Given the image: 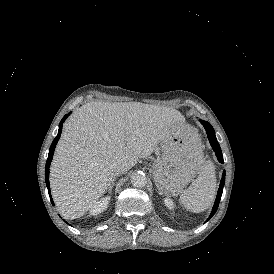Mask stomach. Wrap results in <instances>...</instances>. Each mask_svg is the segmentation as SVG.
Here are the masks:
<instances>
[{
  "mask_svg": "<svg viewBox=\"0 0 274 274\" xmlns=\"http://www.w3.org/2000/svg\"><path fill=\"white\" fill-rule=\"evenodd\" d=\"M184 130L186 132L183 133ZM195 134L196 129L185 124L159 141L161 156L155 160L152 172L156 185L163 193L180 192L199 172L197 156L191 148Z\"/></svg>",
  "mask_w": 274,
  "mask_h": 274,
  "instance_id": "obj_1",
  "label": "stomach"
}]
</instances>
